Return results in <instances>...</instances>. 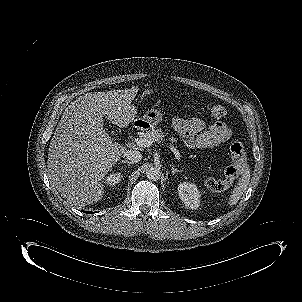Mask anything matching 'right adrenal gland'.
I'll return each instance as SVG.
<instances>
[{"instance_id":"2a0ac1e0","label":"right adrenal gland","mask_w":302,"mask_h":302,"mask_svg":"<svg viewBox=\"0 0 302 302\" xmlns=\"http://www.w3.org/2000/svg\"><path fill=\"white\" fill-rule=\"evenodd\" d=\"M119 163H123V164H126V165H130V164H132L131 162L126 161V160H122V161H120Z\"/></svg>"}]
</instances>
